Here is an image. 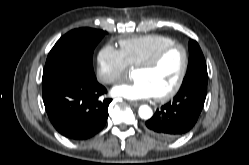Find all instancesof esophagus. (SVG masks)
<instances>
[{
	"mask_svg": "<svg viewBox=\"0 0 249 165\" xmlns=\"http://www.w3.org/2000/svg\"><path fill=\"white\" fill-rule=\"evenodd\" d=\"M129 103H130V105L133 106V107H138V106L140 105V103L135 102V101H130Z\"/></svg>",
	"mask_w": 249,
	"mask_h": 165,
	"instance_id": "esophagus-1",
	"label": "esophagus"
}]
</instances>
